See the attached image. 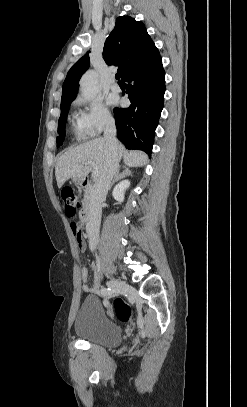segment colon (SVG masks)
<instances>
[{"label": "colon", "mask_w": 247, "mask_h": 407, "mask_svg": "<svg viewBox=\"0 0 247 407\" xmlns=\"http://www.w3.org/2000/svg\"><path fill=\"white\" fill-rule=\"evenodd\" d=\"M61 198L64 203L65 214L69 217L74 216L79 207V199L71 186H66L61 190ZM72 230L75 235L79 234L80 229L77 223H72ZM114 309L117 318L122 322H128L132 318L130 306L121 298L114 301Z\"/></svg>", "instance_id": "obj_1"}]
</instances>
